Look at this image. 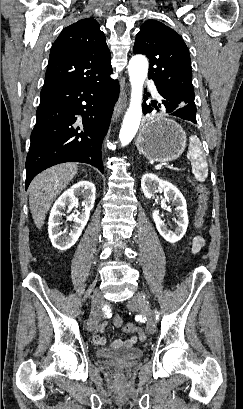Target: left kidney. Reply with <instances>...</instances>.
Listing matches in <instances>:
<instances>
[{"instance_id":"obj_1","label":"left kidney","mask_w":243,"mask_h":409,"mask_svg":"<svg viewBox=\"0 0 243 409\" xmlns=\"http://www.w3.org/2000/svg\"><path fill=\"white\" fill-rule=\"evenodd\" d=\"M141 188L144 196L151 199L159 190L164 192L165 199L175 204L178 214L175 231L169 230L164 221L159 216V211L152 213L153 220L160 235L168 242L175 243L179 241L186 233L188 227V214L186 200L182 193L170 182L160 179L154 174H145L141 180Z\"/></svg>"}]
</instances>
